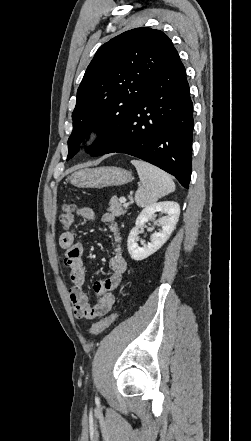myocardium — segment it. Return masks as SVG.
<instances>
[{"mask_svg":"<svg viewBox=\"0 0 251 441\" xmlns=\"http://www.w3.org/2000/svg\"><path fill=\"white\" fill-rule=\"evenodd\" d=\"M99 135H100V129L97 127H92L86 131V133L83 136V140L86 143H91L94 140H96Z\"/></svg>","mask_w":251,"mask_h":441,"instance_id":"obj_1","label":"myocardium"}]
</instances>
